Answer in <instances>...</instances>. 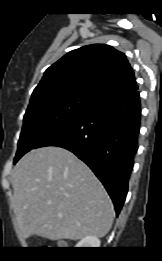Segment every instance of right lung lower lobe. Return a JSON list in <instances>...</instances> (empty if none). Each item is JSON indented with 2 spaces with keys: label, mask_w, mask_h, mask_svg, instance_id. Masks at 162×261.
Listing matches in <instances>:
<instances>
[{
  "label": "right lung lower lobe",
  "mask_w": 162,
  "mask_h": 261,
  "mask_svg": "<svg viewBox=\"0 0 162 261\" xmlns=\"http://www.w3.org/2000/svg\"><path fill=\"white\" fill-rule=\"evenodd\" d=\"M140 118L138 90L119 94L56 128L35 148L58 146L73 152L103 183L118 215L138 149Z\"/></svg>",
  "instance_id": "1"
}]
</instances>
